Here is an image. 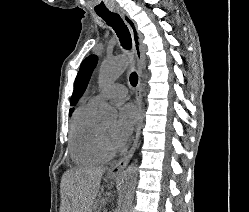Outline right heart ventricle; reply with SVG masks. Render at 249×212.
Segmentation results:
<instances>
[{
	"label": "right heart ventricle",
	"mask_w": 249,
	"mask_h": 212,
	"mask_svg": "<svg viewBox=\"0 0 249 212\" xmlns=\"http://www.w3.org/2000/svg\"><path fill=\"white\" fill-rule=\"evenodd\" d=\"M96 107L90 101L80 105L71 120L69 154L77 165H97L106 160L97 138V124L94 120Z\"/></svg>",
	"instance_id": "1"
}]
</instances>
